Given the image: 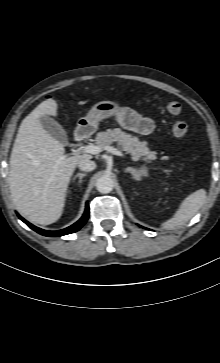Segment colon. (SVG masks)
Segmentation results:
<instances>
[{
  "mask_svg": "<svg viewBox=\"0 0 220 363\" xmlns=\"http://www.w3.org/2000/svg\"><path fill=\"white\" fill-rule=\"evenodd\" d=\"M166 111L171 115H178L181 112L182 106L178 101H168L165 104ZM189 131L188 125L184 121H175L172 126V132L177 138H184Z\"/></svg>",
  "mask_w": 220,
  "mask_h": 363,
  "instance_id": "colon-1",
  "label": "colon"
}]
</instances>
